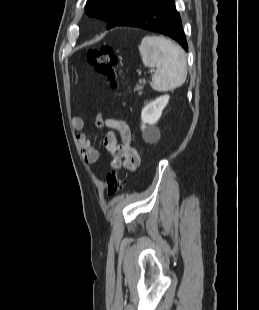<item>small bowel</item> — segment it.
Instances as JSON below:
<instances>
[{
    "label": "small bowel",
    "instance_id": "obj_1",
    "mask_svg": "<svg viewBox=\"0 0 259 310\" xmlns=\"http://www.w3.org/2000/svg\"><path fill=\"white\" fill-rule=\"evenodd\" d=\"M95 124L98 128L106 127L109 129L103 139V145L111 154V167L114 169H120L121 167L129 170L136 169L140 164V156L132 146V135L128 124L118 119H103L101 114L96 117ZM72 128L78 132L76 137L77 146L84 160L88 163L97 162L99 152L91 145L88 136L81 133L84 128L83 119L74 117L72 119ZM115 131L120 134V143L117 141Z\"/></svg>",
    "mask_w": 259,
    "mask_h": 310
}]
</instances>
